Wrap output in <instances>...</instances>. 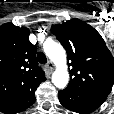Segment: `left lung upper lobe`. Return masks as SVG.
Returning <instances> with one entry per match:
<instances>
[{"instance_id":"5c2ea615","label":"left lung upper lobe","mask_w":114,"mask_h":114,"mask_svg":"<svg viewBox=\"0 0 114 114\" xmlns=\"http://www.w3.org/2000/svg\"><path fill=\"white\" fill-rule=\"evenodd\" d=\"M51 32L66 49L72 66L67 88L107 97L113 86L114 58L100 34L79 19L53 25Z\"/></svg>"}]
</instances>
